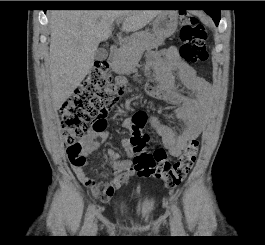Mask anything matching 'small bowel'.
I'll return each mask as SVG.
<instances>
[{
	"instance_id": "small-bowel-1",
	"label": "small bowel",
	"mask_w": 265,
	"mask_h": 245,
	"mask_svg": "<svg viewBox=\"0 0 265 245\" xmlns=\"http://www.w3.org/2000/svg\"><path fill=\"white\" fill-rule=\"evenodd\" d=\"M145 68L152 77L146 85L149 96L178 105L172 118L181 123L182 132L180 134H177L158 115L151 114L149 116V123L161 137L165 148L172 156L178 157L189 141L197 138L204 127L200 113L206 106L212 86L205 79L199 77L195 69L180 57L176 47L161 51H149L145 58ZM175 75L188 90V94H182L177 90ZM123 126L132 132L130 119H125ZM110 137L111 134L105 128L101 131L92 129L83 143L84 155L88 156L99 149L98 139L105 140ZM121 143L126 151V157L122 158L115 149L108 150V157L113 166V177L109 183L90 177L83 167L74 166L73 168L78 180L84 186L91 188L97 195H103L106 199H109L134 175V171L130 167L133 156L131 138H124ZM102 177L107 178V174H102ZM108 187H111V190H107Z\"/></svg>"
}]
</instances>
